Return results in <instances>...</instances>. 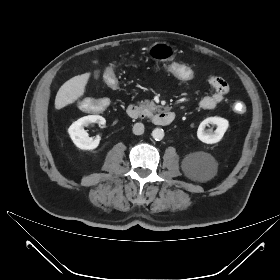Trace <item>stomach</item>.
I'll use <instances>...</instances> for the list:
<instances>
[{"label": "stomach", "mask_w": 280, "mask_h": 280, "mask_svg": "<svg viewBox=\"0 0 280 280\" xmlns=\"http://www.w3.org/2000/svg\"><path fill=\"white\" fill-rule=\"evenodd\" d=\"M153 59L157 61H170L175 57V48L167 42H155L149 47Z\"/></svg>", "instance_id": "1"}]
</instances>
